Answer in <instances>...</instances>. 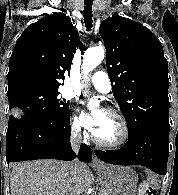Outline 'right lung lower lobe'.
Segmentation results:
<instances>
[{
  "instance_id": "1",
  "label": "right lung lower lobe",
  "mask_w": 178,
  "mask_h": 195,
  "mask_svg": "<svg viewBox=\"0 0 178 195\" xmlns=\"http://www.w3.org/2000/svg\"><path fill=\"white\" fill-rule=\"evenodd\" d=\"M76 157L70 144V116L34 117L10 116L6 133V161L36 159L73 160ZM78 158L90 162V148L81 144Z\"/></svg>"
}]
</instances>
